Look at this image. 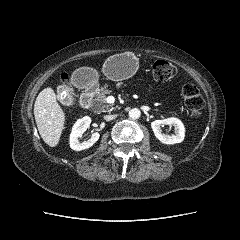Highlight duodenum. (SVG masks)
<instances>
[{
	"mask_svg": "<svg viewBox=\"0 0 240 240\" xmlns=\"http://www.w3.org/2000/svg\"><path fill=\"white\" fill-rule=\"evenodd\" d=\"M84 92L80 99V105L84 109H88L91 105L93 94L96 90V84L94 82H88L87 79H84L81 83Z\"/></svg>",
	"mask_w": 240,
	"mask_h": 240,
	"instance_id": "obj_1",
	"label": "duodenum"
}]
</instances>
